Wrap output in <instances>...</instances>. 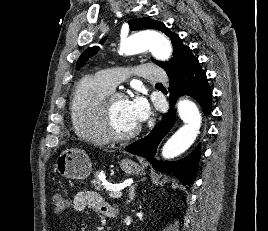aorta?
Masks as SVG:
<instances>
[{
  "label": "aorta",
  "mask_w": 268,
  "mask_h": 231,
  "mask_svg": "<svg viewBox=\"0 0 268 231\" xmlns=\"http://www.w3.org/2000/svg\"><path fill=\"white\" fill-rule=\"evenodd\" d=\"M149 50L161 61L168 60L172 54L170 41L157 32H141L122 39L120 54L133 55ZM178 114L184 125L180 127L164 144L162 156L171 159L185 152L195 141L201 126V114L190 100H180L177 105Z\"/></svg>",
  "instance_id": "762f6f07"
}]
</instances>
